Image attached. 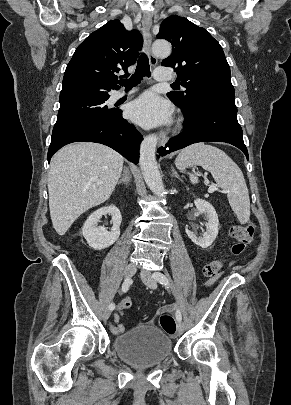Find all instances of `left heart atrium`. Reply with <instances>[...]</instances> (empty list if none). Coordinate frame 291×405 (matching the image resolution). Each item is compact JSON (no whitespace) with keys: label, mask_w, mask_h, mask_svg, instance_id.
Wrapping results in <instances>:
<instances>
[{"label":"left heart atrium","mask_w":291,"mask_h":405,"mask_svg":"<svg viewBox=\"0 0 291 405\" xmlns=\"http://www.w3.org/2000/svg\"><path fill=\"white\" fill-rule=\"evenodd\" d=\"M127 114L144 128H152L170 122L172 108L157 94L146 92L129 104Z\"/></svg>","instance_id":"obj_1"}]
</instances>
